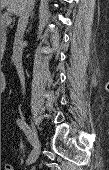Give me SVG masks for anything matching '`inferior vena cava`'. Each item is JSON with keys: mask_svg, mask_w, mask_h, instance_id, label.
Listing matches in <instances>:
<instances>
[{"mask_svg": "<svg viewBox=\"0 0 109 170\" xmlns=\"http://www.w3.org/2000/svg\"><path fill=\"white\" fill-rule=\"evenodd\" d=\"M34 0H22L21 11L19 13V21L17 25V31L15 34V40L13 45L12 60L16 67L20 83L22 86L23 94L25 93V78L22 66V55H23V34L28 24L31 8Z\"/></svg>", "mask_w": 109, "mask_h": 170, "instance_id": "inferior-vena-cava-1", "label": "inferior vena cava"}]
</instances>
